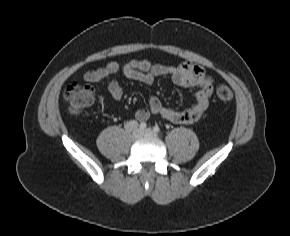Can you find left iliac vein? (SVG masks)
<instances>
[{
    "instance_id": "obj_1",
    "label": "left iliac vein",
    "mask_w": 290,
    "mask_h": 236,
    "mask_svg": "<svg viewBox=\"0 0 290 236\" xmlns=\"http://www.w3.org/2000/svg\"><path fill=\"white\" fill-rule=\"evenodd\" d=\"M143 134L146 136H150V137L157 136V133L154 130H152L151 128H147L146 130H144Z\"/></svg>"
}]
</instances>
